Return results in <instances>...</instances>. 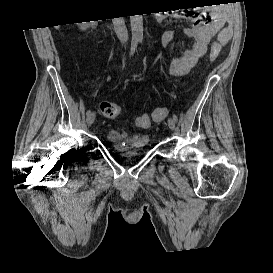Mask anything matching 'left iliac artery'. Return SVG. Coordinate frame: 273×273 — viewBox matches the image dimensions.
<instances>
[{
    "mask_svg": "<svg viewBox=\"0 0 273 273\" xmlns=\"http://www.w3.org/2000/svg\"><path fill=\"white\" fill-rule=\"evenodd\" d=\"M173 119L175 120V122H177V121H178V118H177V116H176V115H173Z\"/></svg>",
    "mask_w": 273,
    "mask_h": 273,
    "instance_id": "1",
    "label": "left iliac artery"
}]
</instances>
